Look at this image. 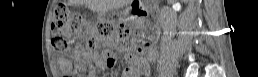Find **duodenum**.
I'll return each mask as SVG.
<instances>
[{
  "mask_svg": "<svg viewBox=\"0 0 258 77\" xmlns=\"http://www.w3.org/2000/svg\"><path fill=\"white\" fill-rule=\"evenodd\" d=\"M130 12L135 15V16H142L143 14L145 15V12L142 11V8L139 7V6H135L133 5L131 8H130Z\"/></svg>",
  "mask_w": 258,
  "mask_h": 77,
  "instance_id": "410a0bca",
  "label": "duodenum"
}]
</instances>
